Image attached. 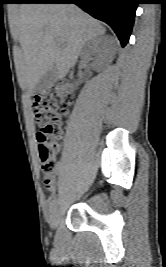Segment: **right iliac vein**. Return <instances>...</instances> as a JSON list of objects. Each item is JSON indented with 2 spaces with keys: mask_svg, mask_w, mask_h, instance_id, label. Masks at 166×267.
I'll return each instance as SVG.
<instances>
[{
  "mask_svg": "<svg viewBox=\"0 0 166 267\" xmlns=\"http://www.w3.org/2000/svg\"><path fill=\"white\" fill-rule=\"evenodd\" d=\"M62 217V213L59 210H55L51 216V227L54 229L58 226Z\"/></svg>",
  "mask_w": 166,
  "mask_h": 267,
  "instance_id": "right-iliac-vein-1",
  "label": "right iliac vein"
}]
</instances>
